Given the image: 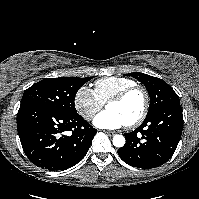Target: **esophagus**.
<instances>
[{
  "mask_svg": "<svg viewBox=\"0 0 199 199\" xmlns=\"http://www.w3.org/2000/svg\"><path fill=\"white\" fill-rule=\"evenodd\" d=\"M108 136H114L115 132L113 131H104Z\"/></svg>",
  "mask_w": 199,
  "mask_h": 199,
  "instance_id": "esophagus-1",
  "label": "esophagus"
}]
</instances>
